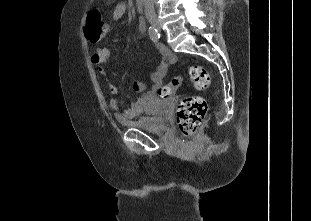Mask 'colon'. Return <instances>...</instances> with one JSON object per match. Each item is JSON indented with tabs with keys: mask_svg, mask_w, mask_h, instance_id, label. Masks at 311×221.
<instances>
[{
	"mask_svg": "<svg viewBox=\"0 0 311 221\" xmlns=\"http://www.w3.org/2000/svg\"><path fill=\"white\" fill-rule=\"evenodd\" d=\"M102 11L99 8H90L87 13L89 22L85 30L86 37L91 43H98L102 38L104 23H100ZM189 78L192 85L197 89H205L210 85V74L202 67L192 66L189 68ZM178 86L177 83H172L165 88H157L156 93L158 99H169L173 89ZM209 112L208 104L204 98L197 96H187L181 98L178 103L176 127L181 134L188 136L193 134L200 128Z\"/></svg>",
	"mask_w": 311,
	"mask_h": 221,
	"instance_id": "obj_1",
	"label": "colon"
}]
</instances>
